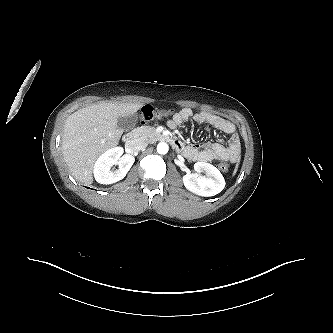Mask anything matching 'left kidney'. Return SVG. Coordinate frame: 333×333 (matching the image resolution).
Here are the masks:
<instances>
[{
	"mask_svg": "<svg viewBox=\"0 0 333 333\" xmlns=\"http://www.w3.org/2000/svg\"><path fill=\"white\" fill-rule=\"evenodd\" d=\"M197 173L204 172L206 176L188 173L183 176V183L189 191L204 197L214 196L225 187V180L221 172L213 165L205 162L194 164Z\"/></svg>",
	"mask_w": 333,
	"mask_h": 333,
	"instance_id": "1",
	"label": "left kidney"
}]
</instances>
